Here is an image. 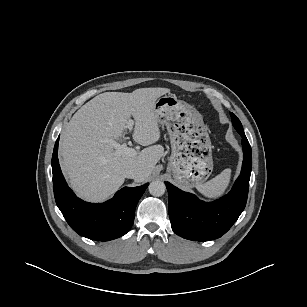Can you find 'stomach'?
Returning <instances> with one entry per match:
<instances>
[{
    "label": "stomach",
    "instance_id": "stomach-1",
    "mask_svg": "<svg viewBox=\"0 0 307 307\" xmlns=\"http://www.w3.org/2000/svg\"><path fill=\"white\" fill-rule=\"evenodd\" d=\"M155 116L167 127L172 154L167 172L184 188L203 184L213 171L212 144L201 114L175 95L155 102Z\"/></svg>",
    "mask_w": 307,
    "mask_h": 307
}]
</instances>
